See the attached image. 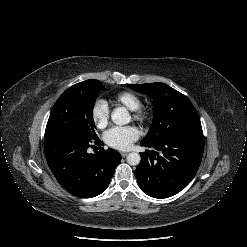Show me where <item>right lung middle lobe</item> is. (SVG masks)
<instances>
[{"mask_svg":"<svg viewBox=\"0 0 247 247\" xmlns=\"http://www.w3.org/2000/svg\"><path fill=\"white\" fill-rule=\"evenodd\" d=\"M104 87L98 80L80 82L62 93L54 104L47 122L45 136L71 133L94 139L93 106Z\"/></svg>","mask_w":247,"mask_h":247,"instance_id":"dd1d6c3e","label":"right lung middle lobe"}]
</instances>
